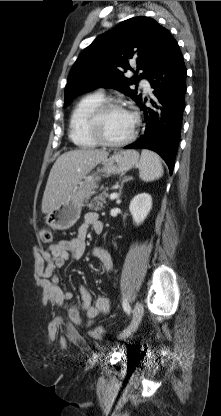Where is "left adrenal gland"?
<instances>
[{
    "label": "left adrenal gland",
    "instance_id": "obj_1",
    "mask_svg": "<svg viewBox=\"0 0 221 416\" xmlns=\"http://www.w3.org/2000/svg\"><path fill=\"white\" fill-rule=\"evenodd\" d=\"M131 179H133V177H131V176H125V177H123V179L121 181V184L119 186V194H118L117 200L119 199V196L121 195V191H122V188H123L124 183L127 182V181H129V180H131Z\"/></svg>",
    "mask_w": 221,
    "mask_h": 416
}]
</instances>
